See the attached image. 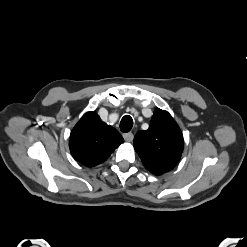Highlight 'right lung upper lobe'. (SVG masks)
Returning <instances> with one entry per match:
<instances>
[{"label":"right lung upper lobe","mask_w":247,"mask_h":247,"mask_svg":"<svg viewBox=\"0 0 247 247\" xmlns=\"http://www.w3.org/2000/svg\"><path fill=\"white\" fill-rule=\"evenodd\" d=\"M124 140L112 126L102 122L96 112H87L70 134L69 148L81 164L93 167L103 163Z\"/></svg>","instance_id":"obj_1"}]
</instances>
